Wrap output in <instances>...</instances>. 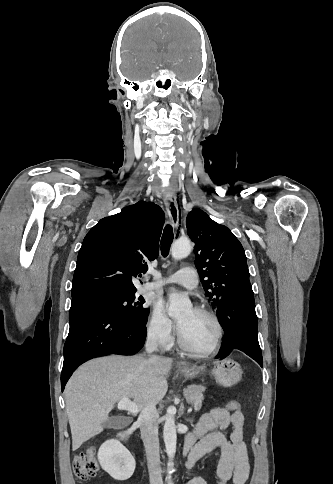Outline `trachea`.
Instances as JSON below:
<instances>
[{
	"label": "trachea",
	"mask_w": 333,
	"mask_h": 484,
	"mask_svg": "<svg viewBox=\"0 0 333 484\" xmlns=\"http://www.w3.org/2000/svg\"><path fill=\"white\" fill-rule=\"evenodd\" d=\"M173 239V228L170 224H167L164 228L161 238V254L163 257H166L169 254L170 246L173 242Z\"/></svg>",
	"instance_id": "obj_1"
}]
</instances>
